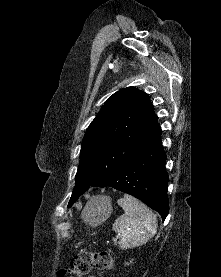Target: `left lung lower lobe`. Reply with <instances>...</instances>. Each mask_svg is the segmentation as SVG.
Here are the masks:
<instances>
[{"instance_id": "left-lung-lower-lobe-1", "label": "left lung lower lobe", "mask_w": 221, "mask_h": 277, "mask_svg": "<svg viewBox=\"0 0 221 277\" xmlns=\"http://www.w3.org/2000/svg\"><path fill=\"white\" fill-rule=\"evenodd\" d=\"M160 135L161 131L91 187H112L128 193L156 210L164 221L169 211V177L165 171L166 155L161 146ZM77 199L70 200L68 207Z\"/></svg>"}]
</instances>
